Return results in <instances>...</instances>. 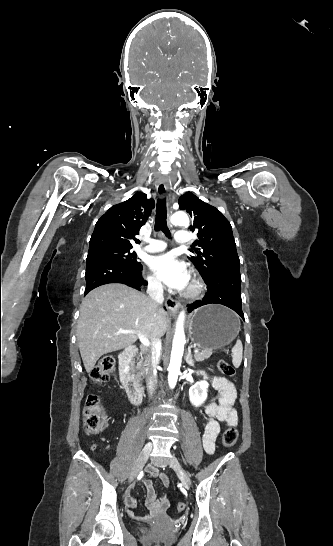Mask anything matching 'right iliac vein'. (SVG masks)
I'll list each match as a JSON object with an SVG mask.
<instances>
[{
    "label": "right iliac vein",
    "mask_w": 333,
    "mask_h": 546,
    "mask_svg": "<svg viewBox=\"0 0 333 546\" xmlns=\"http://www.w3.org/2000/svg\"><path fill=\"white\" fill-rule=\"evenodd\" d=\"M152 451V443L148 442L144 448L142 449L141 453L139 454L137 461L135 462L132 471L130 473L129 481H133L141 469L143 468L145 462L147 461L150 453Z\"/></svg>",
    "instance_id": "right-iliac-vein-1"
}]
</instances>
